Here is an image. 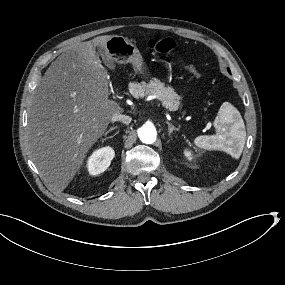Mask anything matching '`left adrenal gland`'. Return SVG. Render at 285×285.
Returning <instances> with one entry per match:
<instances>
[{
	"label": "left adrenal gland",
	"mask_w": 285,
	"mask_h": 285,
	"mask_svg": "<svg viewBox=\"0 0 285 285\" xmlns=\"http://www.w3.org/2000/svg\"><path fill=\"white\" fill-rule=\"evenodd\" d=\"M166 124L169 127V133H168V137H170L174 131L179 132L180 130L175 128L171 123H169L168 121H166Z\"/></svg>",
	"instance_id": "1"
}]
</instances>
